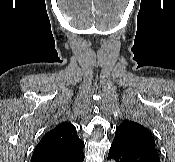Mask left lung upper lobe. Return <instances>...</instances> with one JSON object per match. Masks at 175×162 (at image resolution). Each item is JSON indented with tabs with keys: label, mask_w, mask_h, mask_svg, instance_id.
Listing matches in <instances>:
<instances>
[{
	"label": "left lung upper lobe",
	"mask_w": 175,
	"mask_h": 162,
	"mask_svg": "<svg viewBox=\"0 0 175 162\" xmlns=\"http://www.w3.org/2000/svg\"><path fill=\"white\" fill-rule=\"evenodd\" d=\"M114 139L127 144L155 146L151 132L141 124L129 120L117 127Z\"/></svg>",
	"instance_id": "1"
}]
</instances>
